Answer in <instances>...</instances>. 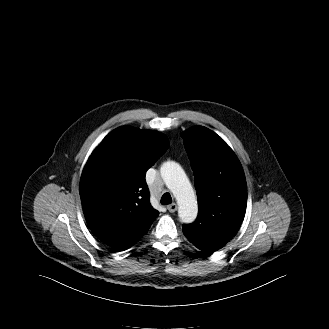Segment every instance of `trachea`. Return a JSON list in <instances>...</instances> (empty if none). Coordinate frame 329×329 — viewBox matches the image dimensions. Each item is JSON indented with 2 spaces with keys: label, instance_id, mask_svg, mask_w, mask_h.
<instances>
[{
  "label": "trachea",
  "instance_id": "trachea-1",
  "mask_svg": "<svg viewBox=\"0 0 329 329\" xmlns=\"http://www.w3.org/2000/svg\"><path fill=\"white\" fill-rule=\"evenodd\" d=\"M161 204L162 205H168L172 203V197L169 193H164L163 196L161 197Z\"/></svg>",
  "mask_w": 329,
  "mask_h": 329
}]
</instances>
